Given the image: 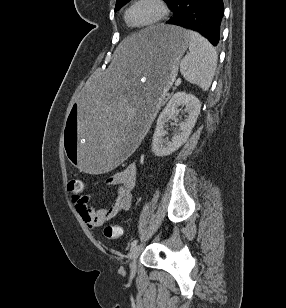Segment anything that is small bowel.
<instances>
[{
  "label": "small bowel",
  "instance_id": "obj_1",
  "mask_svg": "<svg viewBox=\"0 0 286 308\" xmlns=\"http://www.w3.org/2000/svg\"><path fill=\"white\" fill-rule=\"evenodd\" d=\"M138 176L137 163H130L126 168L116 172L106 179L107 186L117 188V196L113 203L106 208L94 209L89 204L90 196L84 193V184L79 192H70L71 201L88 228L94 229L104 225L116 217L120 212L130 206L131 191L135 186Z\"/></svg>",
  "mask_w": 286,
  "mask_h": 308
}]
</instances>
